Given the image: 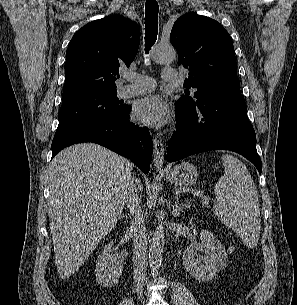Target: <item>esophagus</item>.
<instances>
[{
    "label": "esophagus",
    "mask_w": 297,
    "mask_h": 305,
    "mask_svg": "<svg viewBox=\"0 0 297 305\" xmlns=\"http://www.w3.org/2000/svg\"><path fill=\"white\" fill-rule=\"evenodd\" d=\"M154 146H153V164L157 171L162 170L163 163H164V153L165 148L162 141L155 137L153 140Z\"/></svg>",
    "instance_id": "obj_1"
}]
</instances>
